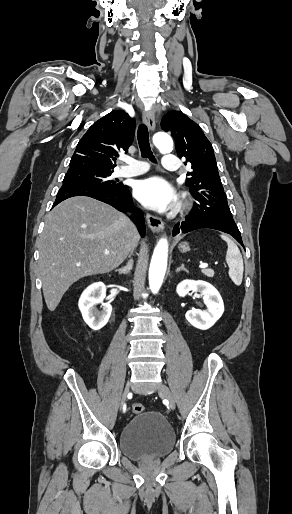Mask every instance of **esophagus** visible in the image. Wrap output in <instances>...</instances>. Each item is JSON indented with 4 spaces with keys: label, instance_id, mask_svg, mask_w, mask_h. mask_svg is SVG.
Listing matches in <instances>:
<instances>
[{
    "label": "esophagus",
    "instance_id": "1",
    "mask_svg": "<svg viewBox=\"0 0 292 514\" xmlns=\"http://www.w3.org/2000/svg\"><path fill=\"white\" fill-rule=\"evenodd\" d=\"M144 124L151 130L155 129V115L152 110L145 111L142 116ZM146 221L152 232H160L164 229L163 221L160 217L151 214H146Z\"/></svg>",
    "mask_w": 292,
    "mask_h": 514
}]
</instances>
